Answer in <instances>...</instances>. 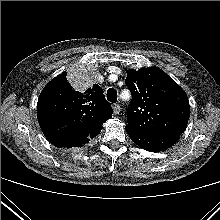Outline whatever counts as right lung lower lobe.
<instances>
[{
	"mask_svg": "<svg viewBox=\"0 0 220 220\" xmlns=\"http://www.w3.org/2000/svg\"><path fill=\"white\" fill-rule=\"evenodd\" d=\"M102 130V126L99 127L97 130H95L93 133H91L89 136H87L86 138H83L73 144H70L68 146H66V148H71V147H78V146H81L83 144H86L88 141H89V137H94V136H97Z\"/></svg>",
	"mask_w": 220,
	"mask_h": 220,
	"instance_id": "right-lung-lower-lobe-1",
	"label": "right lung lower lobe"
}]
</instances>
